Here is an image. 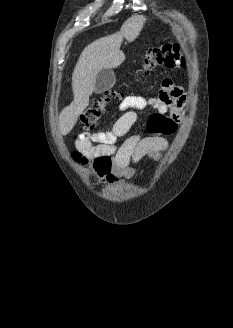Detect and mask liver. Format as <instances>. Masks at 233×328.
<instances>
[{"instance_id":"liver-1","label":"liver","mask_w":233,"mask_h":328,"mask_svg":"<svg viewBox=\"0 0 233 328\" xmlns=\"http://www.w3.org/2000/svg\"><path fill=\"white\" fill-rule=\"evenodd\" d=\"M142 17H132L112 35L97 39L84 48L72 74L73 101L59 115V129L67 135L81 113L89 105V97L95 89V78L102 69L120 66L125 54L120 50L123 38L134 41L143 28Z\"/></svg>"}]
</instances>
